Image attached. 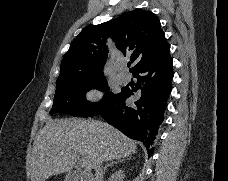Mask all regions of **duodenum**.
Returning a JSON list of instances; mask_svg holds the SVG:
<instances>
[{"instance_id": "duodenum-1", "label": "duodenum", "mask_w": 228, "mask_h": 181, "mask_svg": "<svg viewBox=\"0 0 228 181\" xmlns=\"http://www.w3.org/2000/svg\"><path fill=\"white\" fill-rule=\"evenodd\" d=\"M68 181H83L84 179V174H80L77 172H68Z\"/></svg>"}]
</instances>
